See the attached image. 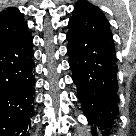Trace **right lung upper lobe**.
<instances>
[{
    "label": "right lung upper lobe",
    "mask_w": 136,
    "mask_h": 136,
    "mask_svg": "<svg viewBox=\"0 0 136 136\" xmlns=\"http://www.w3.org/2000/svg\"><path fill=\"white\" fill-rule=\"evenodd\" d=\"M27 23L16 8H7L0 13V44L19 40L28 35Z\"/></svg>",
    "instance_id": "right-lung-upper-lobe-1"
}]
</instances>
